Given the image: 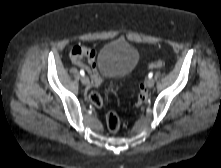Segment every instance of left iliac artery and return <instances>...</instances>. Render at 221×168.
<instances>
[{"mask_svg": "<svg viewBox=\"0 0 221 168\" xmlns=\"http://www.w3.org/2000/svg\"><path fill=\"white\" fill-rule=\"evenodd\" d=\"M148 77H149V78H152V77H153V73L150 72V73L148 74Z\"/></svg>", "mask_w": 221, "mask_h": 168, "instance_id": "44dca946", "label": "left iliac artery"}]
</instances>
